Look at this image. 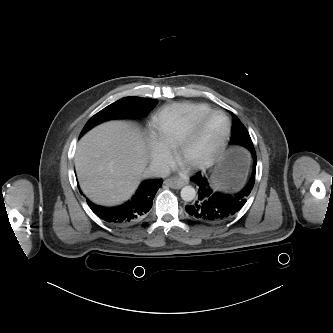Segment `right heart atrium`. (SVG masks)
Instances as JSON below:
<instances>
[{
	"instance_id": "d8ad5b80",
	"label": "right heart atrium",
	"mask_w": 333,
	"mask_h": 333,
	"mask_svg": "<svg viewBox=\"0 0 333 333\" xmlns=\"http://www.w3.org/2000/svg\"><path fill=\"white\" fill-rule=\"evenodd\" d=\"M150 161L158 172H163L172 160L170 150L152 136L148 142Z\"/></svg>"
}]
</instances>
